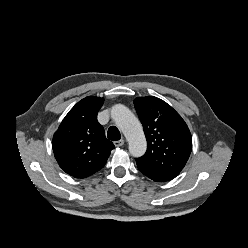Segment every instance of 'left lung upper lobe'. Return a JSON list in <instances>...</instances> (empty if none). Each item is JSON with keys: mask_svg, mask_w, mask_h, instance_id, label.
<instances>
[{"mask_svg": "<svg viewBox=\"0 0 248 248\" xmlns=\"http://www.w3.org/2000/svg\"><path fill=\"white\" fill-rule=\"evenodd\" d=\"M134 104L147 139L146 153L136 159L154 169L178 175L192 150L188 126L170 105L157 97H138Z\"/></svg>", "mask_w": 248, "mask_h": 248, "instance_id": "left-lung-upper-lobe-1", "label": "left lung upper lobe"}]
</instances>
